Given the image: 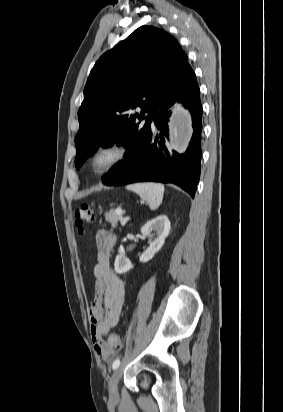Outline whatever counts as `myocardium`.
<instances>
[{"instance_id":"obj_1","label":"myocardium","mask_w":283,"mask_h":412,"mask_svg":"<svg viewBox=\"0 0 283 412\" xmlns=\"http://www.w3.org/2000/svg\"><path fill=\"white\" fill-rule=\"evenodd\" d=\"M127 156V146L120 141H112L93 150L88 158V166L93 174L103 175L119 166Z\"/></svg>"}]
</instances>
